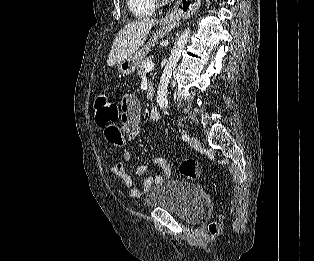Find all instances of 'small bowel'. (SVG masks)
<instances>
[{
    "label": "small bowel",
    "instance_id": "1",
    "mask_svg": "<svg viewBox=\"0 0 314 261\" xmlns=\"http://www.w3.org/2000/svg\"><path fill=\"white\" fill-rule=\"evenodd\" d=\"M121 109V124L117 121H112L111 124H106L104 129L105 140H109V148H124L123 161L116 162L111 167L112 174L122 181L124 187L127 189L131 198H141L147 194L150 189L159 185L164 179H169L172 176V169L163 157H156L148 163L140 164L134 168L135 176H143L152 167H158L162 170L163 175L150 174L143 179L142 187L136 185L132 176L128 173L126 163L131 160V153L126 148L127 144L141 134L139 126L140 120V102L139 99L133 94H126L120 105ZM128 131V136L126 134Z\"/></svg>",
    "mask_w": 314,
    "mask_h": 261
}]
</instances>
